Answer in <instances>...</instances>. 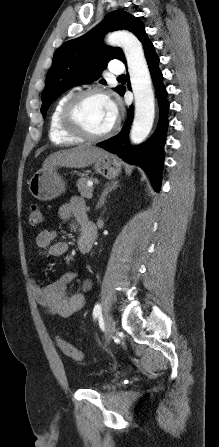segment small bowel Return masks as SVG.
Listing matches in <instances>:
<instances>
[{
	"label": "small bowel",
	"instance_id": "obj_1",
	"mask_svg": "<svg viewBox=\"0 0 219 447\" xmlns=\"http://www.w3.org/2000/svg\"><path fill=\"white\" fill-rule=\"evenodd\" d=\"M61 220H75L80 226L86 217V207L84 200L79 196H74L69 202L59 208ZM57 232L46 229L41 231L36 238L39 248L38 254L42 257H62L67 254L69 245L65 241H56ZM82 234L77 241V248L81 251ZM78 273L75 270L68 271L58 277L52 284L41 286L37 280L30 281L34 298L38 305L43 308L47 316H59L64 319L73 317L85 304V292L90 288V282L85 281L83 290L70 292L69 284L76 279Z\"/></svg>",
	"mask_w": 219,
	"mask_h": 447
}]
</instances>
